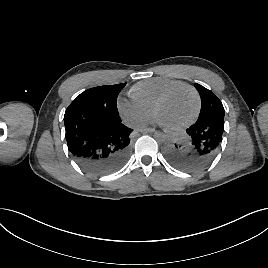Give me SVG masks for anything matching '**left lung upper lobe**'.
Returning a JSON list of instances; mask_svg holds the SVG:
<instances>
[{"instance_id": "5c2ea615", "label": "left lung upper lobe", "mask_w": 268, "mask_h": 268, "mask_svg": "<svg viewBox=\"0 0 268 268\" xmlns=\"http://www.w3.org/2000/svg\"><path fill=\"white\" fill-rule=\"evenodd\" d=\"M194 86L201 97V111L197 121H213L219 117L224 118L225 111L221 101L202 85L195 83Z\"/></svg>"}]
</instances>
